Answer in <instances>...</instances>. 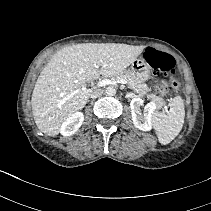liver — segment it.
Wrapping results in <instances>:
<instances>
[{"instance_id": "6515ba94", "label": "liver", "mask_w": 211, "mask_h": 211, "mask_svg": "<svg viewBox=\"0 0 211 211\" xmlns=\"http://www.w3.org/2000/svg\"><path fill=\"white\" fill-rule=\"evenodd\" d=\"M143 49L120 43H82L57 51L41 71L31 97L39 130L58 135L66 119L85 107L93 91L86 83L123 72Z\"/></svg>"}]
</instances>
